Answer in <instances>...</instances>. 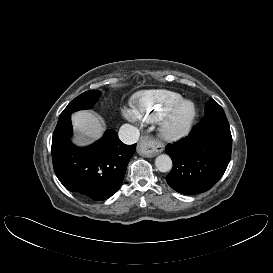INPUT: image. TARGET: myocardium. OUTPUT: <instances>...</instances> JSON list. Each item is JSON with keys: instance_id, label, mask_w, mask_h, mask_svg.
<instances>
[{"instance_id": "f54148a6", "label": "myocardium", "mask_w": 273, "mask_h": 273, "mask_svg": "<svg viewBox=\"0 0 273 273\" xmlns=\"http://www.w3.org/2000/svg\"><path fill=\"white\" fill-rule=\"evenodd\" d=\"M195 117L196 107L193 102H179L160 119V136L167 141L180 140L190 132Z\"/></svg>"}]
</instances>
